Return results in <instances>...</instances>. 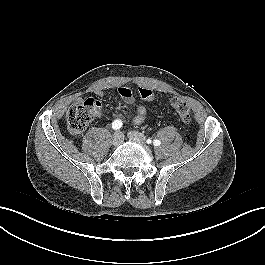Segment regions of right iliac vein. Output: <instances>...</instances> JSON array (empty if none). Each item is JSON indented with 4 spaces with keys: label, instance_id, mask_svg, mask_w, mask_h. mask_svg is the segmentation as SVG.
Returning a JSON list of instances; mask_svg holds the SVG:
<instances>
[{
    "label": "right iliac vein",
    "instance_id": "1",
    "mask_svg": "<svg viewBox=\"0 0 265 265\" xmlns=\"http://www.w3.org/2000/svg\"><path fill=\"white\" fill-rule=\"evenodd\" d=\"M124 140V136L120 131L114 133L111 143L113 146H119Z\"/></svg>",
    "mask_w": 265,
    "mask_h": 265
}]
</instances>
